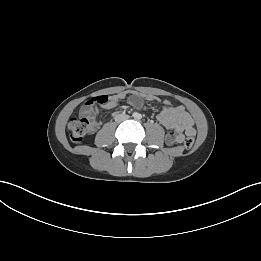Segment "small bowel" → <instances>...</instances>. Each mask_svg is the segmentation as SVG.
Returning <instances> with one entry per match:
<instances>
[{
    "label": "small bowel",
    "instance_id": "1",
    "mask_svg": "<svg viewBox=\"0 0 261 261\" xmlns=\"http://www.w3.org/2000/svg\"><path fill=\"white\" fill-rule=\"evenodd\" d=\"M124 94L109 96L108 100L103 104L89 105L85 104L81 108V114H86L94 121L92 124V131H95L99 122L96 117L100 116L102 110L115 108ZM143 101L156 102L158 99L149 94L132 93L129 96V102L135 107H141ZM99 105V106H97ZM158 121L165 126L169 133L166 135V144L174 145L181 143L185 135H194L195 129L193 127V119L187 113L183 106L173 105L170 99L163 101V106L157 116Z\"/></svg>",
    "mask_w": 261,
    "mask_h": 261
}]
</instances>
